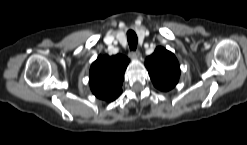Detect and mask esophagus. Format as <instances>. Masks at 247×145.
I'll list each match as a JSON object with an SVG mask.
<instances>
[{"label": "esophagus", "instance_id": "34e87169", "mask_svg": "<svg viewBox=\"0 0 247 145\" xmlns=\"http://www.w3.org/2000/svg\"><path fill=\"white\" fill-rule=\"evenodd\" d=\"M129 56H130L131 58H133V59H136V58H138V57L140 56V52L137 51V50H135V51H130V52H129Z\"/></svg>", "mask_w": 247, "mask_h": 145}]
</instances>
